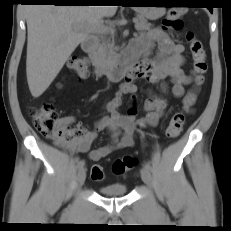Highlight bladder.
Returning a JSON list of instances; mask_svg holds the SVG:
<instances>
[{
	"instance_id": "1",
	"label": "bladder",
	"mask_w": 231,
	"mask_h": 231,
	"mask_svg": "<svg viewBox=\"0 0 231 231\" xmlns=\"http://www.w3.org/2000/svg\"><path fill=\"white\" fill-rule=\"evenodd\" d=\"M99 192L107 197H122L127 193V186L123 184L105 185L99 188Z\"/></svg>"
}]
</instances>
